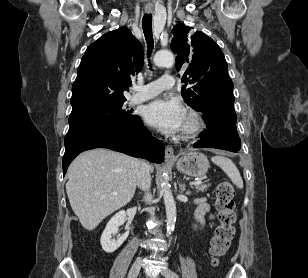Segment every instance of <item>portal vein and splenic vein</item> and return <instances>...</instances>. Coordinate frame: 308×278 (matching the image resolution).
Masks as SVG:
<instances>
[{"instance_id":"18ae733b","label":"portal vein and splenic vein","mask_w":308,"mask_h":278,"mask_svg":"<svg viewBox=\"0 0 308 278\" xmlns=\"http://www.w3.org/2000/svg\"><path fill=\"white\" fill-rule=\"evenodd\" d=\"M200 184H202L201 181L190 182V185H191V186H197V185H200Z\"/></svg>"}]
</instances>
